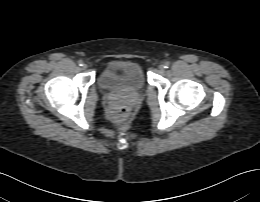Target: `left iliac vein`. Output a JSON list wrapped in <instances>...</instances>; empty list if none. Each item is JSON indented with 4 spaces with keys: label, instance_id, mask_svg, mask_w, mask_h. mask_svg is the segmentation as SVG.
I'll list each match as a JSON object with an SVG mask.
<instances>
[{
    "label": "left iliac vein",
    "instance_id": "1",
    "mask_svg": "<svg viewBox=\"0 0 260 202\" xmlns=\"http://www.w3.org/2000/svg\"><path fill=\"white\" fill-rule=\"evenodd\" d=\"M158 69L159 71L163 72L165 70L164 65L163 64L159 65Z\"/></svg>",
    "mask_w": 260,
    "mask_h": 202
}]
</instances>
